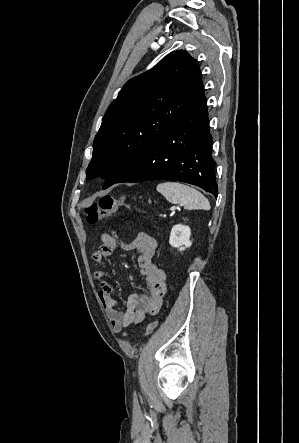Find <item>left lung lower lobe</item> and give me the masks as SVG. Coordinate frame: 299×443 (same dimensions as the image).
I'll return each instance as SVG.
<instances>
[{"instance_id":"1","label":"left lung lower lobe","mask_w":299,"mask_h":443,"mask_svg":"<svg viewBox=\"0 0 299 443\" xmlns=\"http://www.w3.org/2000/svg\"><path fill=\"white\" fill-rule=\"evenodd\" d=\"M211 145L207 100L203 95L115 183L176 180L199 186L217 197Z\"/></svg>"}]
</instances>
